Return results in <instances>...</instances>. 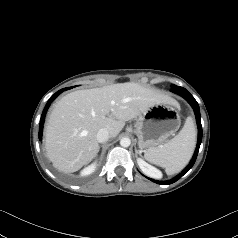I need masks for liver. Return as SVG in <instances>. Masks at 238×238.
<instances>
[{
	"instance_id": "obj_1",
	"label": "liver",
	"mask_w": 238,
	"mask_h": 238,
	"mask_svg": "<svg viewBox=\"0 0 238 238\" xmlns=\"http://www.w3.org/2000/svg\"><path fill=\"white\" fill-rule=\"evenodd\" d=\"M157 103L176 105L158 90L131 82L71 92L55 104L49 116L46 154L60 171H78L96 157L100 129L115 138L126 121Z\"/></svg>"
}]
</instances>
